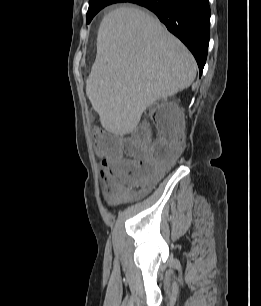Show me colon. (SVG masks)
I'll use <instances>...</instances> for the list:
<instances>
[{
	"label": "colon",
	"mask_w": 261,
	"mask_h": 306,
	"mask_svg": "<svg viewBox=\"0 0 261 306\" xmlns=\"http://www.w3.org/2000/svg\"><path fill=\"white\" fill-rule=\"evenodd\" d=\"M150 118L157 130L155 140L148 124H141L123 142L114 135L96 136L97 152L113 162L109 172L101 170L107 197L123 194L126 187H143L157 181L177 160L184 140V118L167 104L154 105ZM121 146L127 153L125 159H121Z\"/></svg>",
	"instance_id": "obj_1"
}]
</instances>
